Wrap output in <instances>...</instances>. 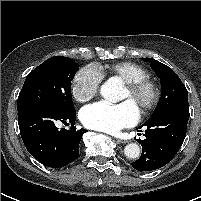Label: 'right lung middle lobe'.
Masks as SVG:
<instances>
[{
    "instance_id": "obj_1",
    "label": "right lung middle lobe",
    "mask_w": 201,
    "mask_h": 201,
    "mask_svg": "<svg viewBox=\"0 0 201 201\" xmlns=\"http://www.w3.org/2000/svg\"><path fill=\"white\" fill-rule=\"evenodd\" d=\"M79 65L68 57L54 56L31 71L17 101L18 111L32 104H47L62 112L75 111L71 81Z\"/></svg>"
}]
</instances>
